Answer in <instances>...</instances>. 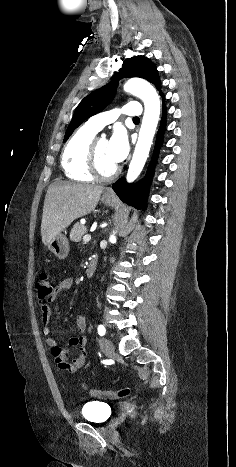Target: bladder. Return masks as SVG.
Returning a JSON list of instances; mask_svg holds the SVG:
<instances>
[{
  "instance_id": "1",
  "label": "bladder",
  "mask_w": 236,
  "mask_h": 467,
  "mask_svg": "<svg viewBox=\"0 0 236 467\" xmlns=\"http://www.w3.org/2000/svg\"><path fill=\"white\" fill-rule=\"evenodd\" d=\"M111 414V405L103 401H89L82 407L80 415L89 422L102 423Z\"/></svg>"
}]
</instances>
